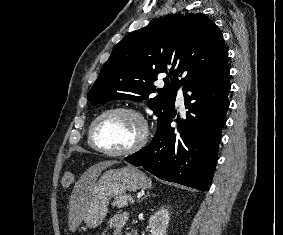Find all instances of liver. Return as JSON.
Masks as SVG:
<instances>
[{
	"mask_svg": "<svg viewBox=\"0 0 283 235\" xmlns=\"http://www.w3.org/2000/svg\"><path fill=\"white\" fill-rule=\"evenodd\" d=\"M117 161H103L91 166L75 184L70 198L69 227L75 231L84 217V204L88 193L94 186L98 176L106 168L117 164Z\"/></svg>",
	"mask_w": 283,
	"mask_h": 235,
	"instance_id": "liver-1",
	"label": "liver"
}]
</instances>
